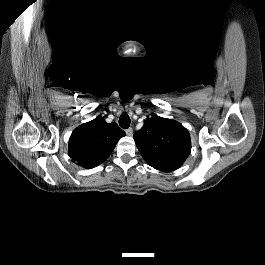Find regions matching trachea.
Returning a JSON list of instances; mask_svg holds the SVG:
<instances>
[{
    "label": "trachea",
    "mask_w": 265,
    "mask_h": 265,
    "mask_svg": "<svg viewBox=\"0 0 265 265\" xmlns=\"http://www.w3.org/2000/svg\"><path fill=\"white\" fill-rule=\"evenodd\" d=\"M130 118L128 116V114L126 112L122 113L120 118H119V125L123 128V129H128L130 126Z\"/></svg>",
    "instance_id": "trachea-1"
}]
</instances>
